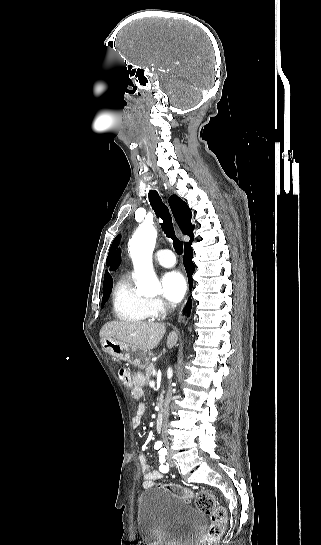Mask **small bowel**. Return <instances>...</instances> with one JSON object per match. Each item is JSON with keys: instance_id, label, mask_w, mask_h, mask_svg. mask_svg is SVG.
Instances as JSON below:
<instances>
[{"instance_id": "obj_1", "label": "small bowel", "mask_w": 321, "mask_h": 545, "mask_svg": "<svg viewBox=\"0 0 321 545\" xmlns=\"http://www.w3.org/2000/svg\"><path fill=\"white\" fill-rule=\"evenodd\" d=\"M141 395H142L141 378L137 377L134 381L132 396L138 399L141 397ZM145 412H146V406L143 403H139L136 414L132 419V424L135 428L140 426ZM138 460H139V463L141 466V472L144 478V482H143L144 487L147 488V487L154 486L156 482L163 477L164 473L158 470H152L144 454L140 453L138 455Z\"/></svg>"}]
</instances>
